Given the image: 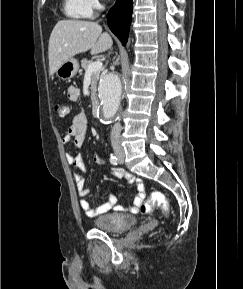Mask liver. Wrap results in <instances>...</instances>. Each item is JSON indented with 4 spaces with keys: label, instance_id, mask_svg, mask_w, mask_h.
Here are the masks:
<instances>
[{
    "label": "liver",
    "instance_id": "6515ba94",
    "mask_svg": "<svg viewBox=\"0 0 243 289\" xmlns=\"http://www.w3.org/2000/svg\"><path fill=\"white\" fill-rule=\"evenodd\" d=\"M113 45L111 36L92 21L60 20L49 39V73L53 75L68 59L91 50L92 55L107 51Z\"/></svg>",
    "mask_w": 243,
    "mask_h": 289
}]
</instances>
